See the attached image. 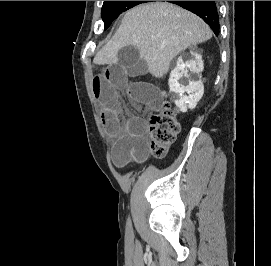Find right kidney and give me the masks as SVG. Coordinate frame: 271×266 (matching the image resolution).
<instances>
[{"label": "right kidney", "instance_id": "1", "mask_svg": "<svg viewBox=\"0 0 271 266\" xmlns=\"http://www.w3.org/2000/svg\"><path fill=\"white\" fill-rule=\"evenodd\" d=\"M203 65L201 55L191 50L179 56L175 68L170 73V92L174 94L175 104L181 112L195 108L203 96L204 85L200 77ZM187 68L191 74H188ZM185 92L188 96L184 95Z\"/></svg>", "mask_w": 271, "mask_h": 266}]
</instances>
